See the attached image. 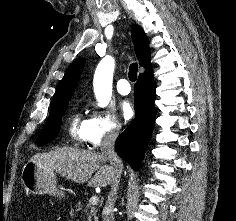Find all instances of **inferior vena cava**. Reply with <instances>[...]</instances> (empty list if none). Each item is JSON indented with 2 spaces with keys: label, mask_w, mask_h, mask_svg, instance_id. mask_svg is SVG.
Segmentation results:
<instances>
[{
  "label": "inferior vena cava",
  "mask_w": 236,
  "mask_h": 221,
  "mask_svg": "<svg viewBox=\"0 0 236 221\" xmlns=\"http://www.w3.org/2000/svg\"><path fill=\"white\" fill-rule=\"evenodd\" d=\"M119 128H112L106 132L103 136L101 144V154L108 159L111 167L114 170V177L111 181V190L109 192L107 201L102 211L103 221H114L113 208L117 198V190L119 186V180L122 174L123 163L121 158L115 151V140L119 135Z\"/></svg>",
  "instance_id": "obj_1"
}]
</instances>
